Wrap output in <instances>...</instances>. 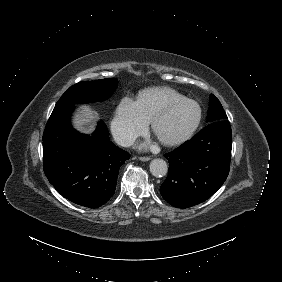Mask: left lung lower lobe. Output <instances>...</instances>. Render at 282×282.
Returning a JSON list of instances; mask_svg holds the SVG:
<instances>
[{
	"label": "left lung lower lobe",
	"mask_w": 282,
	"mask_h": 282,
	"mask_svg": "<svg viewBox=\"0 0 282 282\" xmlns=\"http://www.w3.org/2000/svg\"><path fill=\"white\" fill-rule=\"evenodd\" d=\"M231 148L230 123L218 120L165 154L170 167L160 188L163 198L177 208H188L207 200L228 176Z\"/></svg>",
	"instance_id": "left-lung-lower-lobe-1"
}]
</instances>
